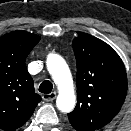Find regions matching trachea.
Wrapping results in <instances>:
<instances>
[{
	"label": "trachea",
	"instance_id": "1",
	"mask_svg": "<svg viewBox=\"0 0 131 131\" xmlns=\"http://www.w3.org/2000/svg\"><path fill=\"white\" fill-rule=\"evenodd\" d=\"M52 89H53V85H52V83H51L50 81H48V80L43 81V82L40 84V86H39V91H40L41 93H44V94H49V93H51Z\"/></svg>",
	"mask_w": 131,
	"mask_h": 131
}]
</instances>
